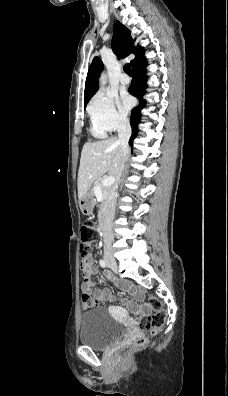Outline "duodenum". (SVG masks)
<instances>
[{
  "instance_id": "410a0bca",
  "label": "duodenum",
  "mask_w": 228,
  "mask_h": 396,
  "mask_svg": "<svg viewBox=\"0 0 228 396\" xmlns=\"http://www.w3.org/2000/svg\"><path fill=\"white\" fill-rule=\"evenodd\" d=\"M98 227L100 229V231L106 235L107 234V226H106V220L104 217H101L98 223Z\"/></svg>"
}]
</instances>
